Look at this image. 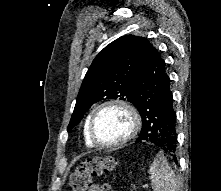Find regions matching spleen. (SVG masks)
<instances>
[{"mask_svg":"<svg viewBox=\"0 0 221 191\" xmlns=\"http://www.w3.org/2000/svg\"><path fill=\"white\" fill-rule=\"evenodd\" d=\"M149 174L154 191H177L174 171L162 153H158L154 158Z\"/></svg>","mask_w":221,"mask_h":191,"instance_id":"obj_1","label":"spleen"}]
</instances>
